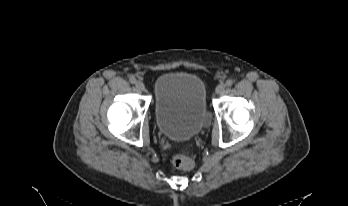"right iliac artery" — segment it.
<instances>
[{"mask_svg":"<svg viewBox=\"0 0 348 206\" xmlns=\"http://www.w3.org/2000/svg\"><path fill=\"white\" fill-rule=\"evenodd\" d=\"M129 80L132 84L136 83V78L134 76H131Z\"/></svg>","mask_w":348,"mask_h":206,"instance_id":"1","label":"right iliac artery"}]
</instances>
